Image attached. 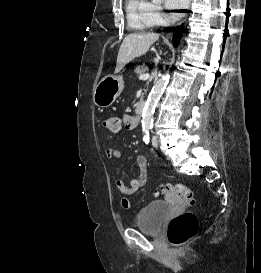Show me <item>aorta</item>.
<instances>
[{"instance_id": "obj_1", "label": "aorta", "mask_w": 261, "mask_h": 273, "mask_svg": "<svg viewBox=\"0 0 261 273\" xmlns=\"http://www.w3.org/2000/svg\"><path fill=\"white\" fill-rule=\"evenodd\" d=\"M155 3L161 0H153ZM169 82V75H162L153 85L151 92L147 98L142 112V126L144 129L150 130L153 127V116L156 105Z\"/></svg>"}]
</instances>
